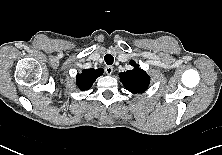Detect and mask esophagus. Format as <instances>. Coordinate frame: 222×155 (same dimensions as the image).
Segmentation results:
<instances>
[{
  "instance_id": "esophagus-1",
  "label": "esophagus",
  "mask_w": 222,
  "mask_h": 155,
  "mask_svg": "<svg viewBox=\"0 0 222 155\" xmlns=\"http://www.w3.org/2000/svg\"><path fill=\"white\" fill-rule=\"evenodd\" d=\"M105 72L107 75H111L113 73V66H106Z\"/></svg>"
}]
</instances>
